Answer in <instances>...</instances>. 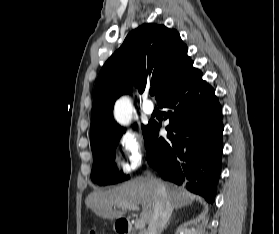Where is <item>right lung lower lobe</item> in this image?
Listing matches in <instances>:
<instances>
[{
	"label": "right lung lower lobe",
	"mask_w": 279,
	"mask_h": 234,
	"mask_svg": "<svg viewBox=\"0 0 279 234\" xmlns=\"http://www.w3.org/2000/svg\"><path fill=\"white\" fill-rule=\"evenodd\" d=\"M169 110L167 140L150 123L147 160L159 175L213 202L221 173L222 112L214 89L192 66L159 100Z\"/></svg>",
	"instance_id": "1"
}]
</instances>
